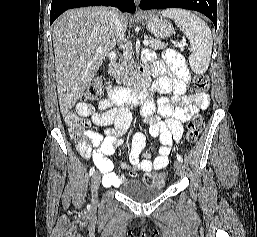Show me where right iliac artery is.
<instances>
[{
  "label": "right iliac artery",
  "instance_id": "1",
  "mask_svg": "<svg viewBox=\"0 0 257 237\" xmlns=\"http://www.w3.org/2000/svg\"><path fill=\"white\" fill-rule=\"evenodd\" d=\"M94 171H95V168L92 167V168L90 169L89 175H90V176L93 175Z\"/></svg>",
  "mask_w": 257,
  "mask_h": 237
}]
</instances>
